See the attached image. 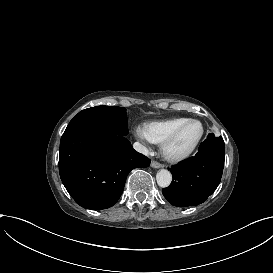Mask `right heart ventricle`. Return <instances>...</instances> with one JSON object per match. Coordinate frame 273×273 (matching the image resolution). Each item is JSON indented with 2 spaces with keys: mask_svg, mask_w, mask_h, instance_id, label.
<instances>
[{
  "mask_svg": "<svg viewBox=\"0 0 273 273\" xmlns=\"http://www.w3.org/2000/svg\"><path fill=\"white\" fill-rule=\"evenodd\" d=\"M188 117H177L162 121L150 122L145 126V135L148 141L155 144L163 142L172 134L176 127L188 120Z\"/></svg>",
  "mask_w": 273,
  "mask_h": 273,
  "instance_id": "right-heart-ventricle-1",
  "label": "right heart ventricle"
}]
</instances>
